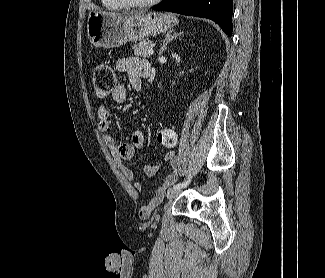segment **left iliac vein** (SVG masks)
I'll list each match as a JSON object with an SVG mask.
<instances>
[{
    "mask_svg": "<svg viewBox=\"0 0 325 278\" xmlns=\"http://www.w3.org/2000/svg\"><path fill=\"white\" fill-rule=\"evenodd\" d=\"M181 192V188H171L167 191V198L168 199H173L175 198L176 196H178Z\"/></svg>",
    "mask_w": 325,
    "mask_h": 278,
    "instance_id": "obj_1",
    "label": "left iliac vein"
}]
</instances>
